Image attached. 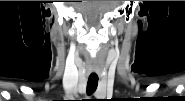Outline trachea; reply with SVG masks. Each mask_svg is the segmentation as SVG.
Masks as SVG:
<instances>
[{
  "label": "trachea",
  "mask_w": 185,
  "mask_h": 101,
  "mask_svg": "<svg viewBox=\"0 0 185 101\" xmlns=\"http://www.w3.org/2000/svg\"><path fill=\"white\" fill-rule=\"evenodd\" d=\"M98 86V76L95 73H92L89 76L88 82H87V94L91 95L95 92Z\"/></svg>",
  "instance_id": "3493384b"
}]
</instances>
